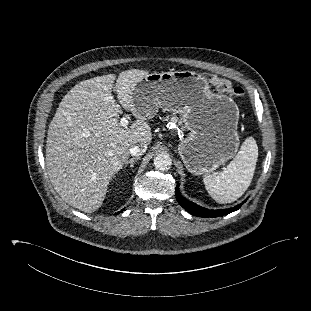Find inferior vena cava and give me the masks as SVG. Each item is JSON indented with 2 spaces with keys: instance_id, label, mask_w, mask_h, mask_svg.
<instances>
[{
  "instance_id": "1",
  "label": "inferior vena cava",
  "mask_w": 311,
  "mask_h": 311,
  "mask_svg": "<svg viewBox=\"0 0 311 311\" xmlns=\"http://www.w3.org/2000/svg\"><path fill=\"white\" fill-rule=\"evenodd\" d=\"M146 149V144L135 145L129 149V152L132 156H140L146 151Z\"/></svg>"
}]
</instances>
